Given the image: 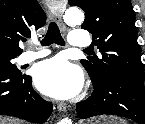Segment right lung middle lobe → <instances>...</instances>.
<instances>
[{
    "mask_svg": "<svg viewBox=\"0 0 145 124\" xmlns=\"http://www.w3.org/2000/svg\"><path fill=\"white\" fill-rule=\"evenodd\" d=\"M17 56L18 55H13V54L0 51V67H5L14 72H20L18 68L16 67V65L12 62V60L16 58Z\"/></svg>",
    "mask_w": 145,
    "mask_h": 124,
    "instance_id": "right-lung-middle-lobe-1",
    "label": "right lung middle lobe"
}]
</instances>
